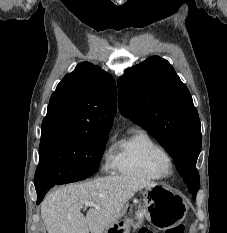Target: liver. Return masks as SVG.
Segmentation results:
<instances>
[{
    "mask_svg": "<svg viewBox=\"0 0 227 233\" xmlns=\"http://www.w3.org/2000/svg\"><path fill=\"white\" fill-rule=\"evenodd\" d=\"M157 184L137 176H106L49 193L41 205L48 233H103L134 194ZM93 202L84 216L81 209Z\"/></svg>",
    "mask_w": 227,
    "mask_h": 233,
    "instance_id": "1",
    "label": "liver"
}]
</instances>
